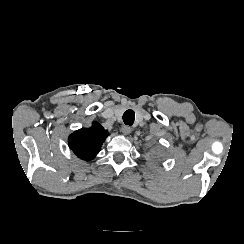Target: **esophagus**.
Listing matches in <instances>:
<instances>
[{
  "instance_id": "34e87169",
  "label": "esophagus",
  "mask_w": 244,
  "mask_h": 244,
  "mask_svg": "<svg viewBox=\"0 0 244 244\" xmlns=\"http://www.w3.org/2000/svg\"><path fill=\"white\" fill-rule=\"evenodd\" d=\"M121 131L124 135H129L131 133V128L129 126H122Z\"/></svg>"
}]
</instances>
